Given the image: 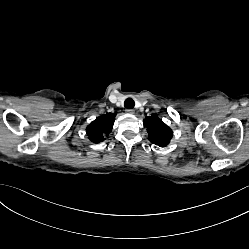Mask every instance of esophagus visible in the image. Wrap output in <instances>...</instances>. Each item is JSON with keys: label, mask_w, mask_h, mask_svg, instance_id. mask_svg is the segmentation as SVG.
<instances>
[{"label": "esophagus", "mask_w": 249, "mask_h": 249, "mask_svg": "<svg viewBox=\"0 0 249 249\" xmlns=\"http://www.w3.org/2000/svg\"><path fill=\"white\" fill-rule=\"evenodd\" d=\"M125 111H126L128 114H134V110H133V109L127 108Z\"/></svg>", "instance_id": "esophagus-1"}]
</instances>
